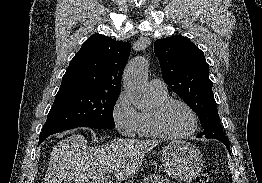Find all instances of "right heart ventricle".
Returning a JSON list of instances; mask_svg holds the SVG:
<instances>
[{"instance_id":"obj_1","label":"right heart ventricle","mask_w":262,"mask_h":183,"mask_svg":"<svg viewBox=\"0 0 262 183\" xmlns=\"http://www.w3.org/2000/svg\"><path fill=\"white\" fill-rule=\"evenodd\" d=\"M151 96H152V99L155 105L163 102L164 100L168 98L167 94H164V95L151 94ZM136 134L140 137H156V135L154 134L151 128V124H150V112L139 113V125H138Z\"/></svg>"}]
</instances>
